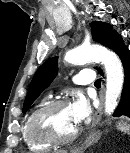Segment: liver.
Returning a JSON list of instances; mask_svg holds the SVG:
<instances>
[{
  "mask_svg": "<svg viewBox=\"0 0 130 153\" xmlns=\"http://www.w3.org/2000/svg\"><path fill=\"white\" fill-rule=\"evenodd\" d=\"M61 153H67L66 151H62Z\"/></svg>",
  "mask_w": 130,
  "mask_h": 153,
  "instance_id": "6515ba94",
  "label": "liver"
}]
</instances>
